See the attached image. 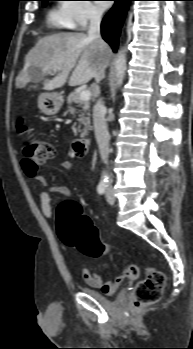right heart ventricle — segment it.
<instances>
[{"label":"right heart ventricle","instance_id":"obj_1","mask_svg":"<svg viewBox=\"0 0 193 349\" xmlns=\"http://www.w3.org/2000/svg\"><path fill=\"white\" fill-rule=\"evenodd\" d=\"M48 22L56 29H68L72 27V24L64 10V4H60L50 10L48 14Z\"/></svg>","mask_w":193,"mask_h":349}]
</instances>
